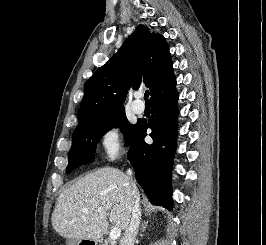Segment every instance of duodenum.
I'll use <instances>...</instances> for the list:
<instances>
[{
  "label": "duodenum",
  "mask_w": 266,
  "mask_h": 245,
  "mask_svg": "<svg viewBox=\"0 0 266 245\" xmlns=\"http://www.w3.org/2000/svg\"><path fill=\"white\" fill-rule=\"evenodd\" d=\"M78 245H102L101 237H77Z\"/></svg>",
  "instance_id": "1"
}]
</instances>
